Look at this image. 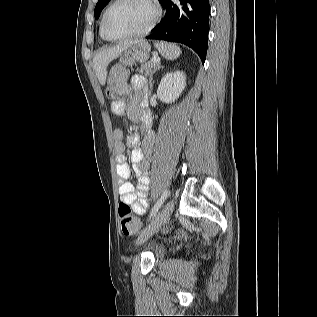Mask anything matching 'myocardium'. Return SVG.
<instances>
[{
    "label": "myocardium",
    "mask_w": 317,
    "mask_h": 317,
    "mask_svg": "<svg viewBox=\"0 0 317 317\" xmlns=\"http://www.w3.org/2000/svg\"><path fill=\"white\" fill-rule=\"evenodd\" d=\"M123 0H114L109 7L106 9L103 18H102V33L103 36L105 37L106 40L109 41H123V40H129V39H133V38H137V37H141L144 36L146 34H148L157 24L159 17H160V10L159 7L157 6V4L155 3L154 0H143L151 9L152 11V16L151 19L149 21V23L147 24V26L135 33L129 34V35H125V36H119V37H114L111 36L108 33L107 30V19L111 13V11L114 9V7L119 4L120 2H122Z\"/></svg>",
    "instance_id": "myocardium-1"
}]
</instances>
